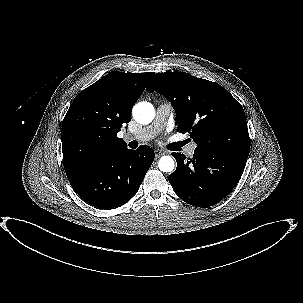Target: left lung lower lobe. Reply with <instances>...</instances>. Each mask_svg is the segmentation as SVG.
Returning a JSON list of instances; mask_svg holds the SVG:
<instances>
[{"label":"left lung lower lobe","instance_id":"1","mask_svg":"<svg viewBox=\"0 0 303 303\" xmlns=\"http://www.w3.org/2000/svg\"><path fill=\"white\" fill-rule=\"evenodd\" d=\"M176 171L169 175L174 192L186 203L197 207L215 205L239 182L248 158L237 151L195 149L193 158L172 154Z\"/></svg>","mask_w":303,"mask_h":303}]
</instances>
